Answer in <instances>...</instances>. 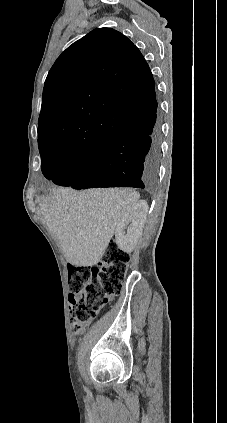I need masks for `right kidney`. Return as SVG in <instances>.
Listing matches in <instances>:
<instances>
[{"instance_id":"1","label":"right kidney","mask_w":227,"mask_h":423,"mask_svg":"<svg viewBox=\"0 0 227 423\" xmlns=\"http://www.w3.org/2000/svg\"><path fill=\"white\" fill-rule=\"evenodd\" d=\"M148 204L146 200H139L125 211L115 229V239L118 247L131 253L144 227ZM127 229V231H125Z\"/></svg>"}]
</instances>
